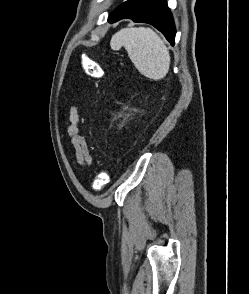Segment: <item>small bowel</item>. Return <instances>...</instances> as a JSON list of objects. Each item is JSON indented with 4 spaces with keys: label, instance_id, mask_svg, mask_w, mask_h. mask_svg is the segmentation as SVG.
Masks as SVG:
<instances>
[{
    "label": "small bowel",
    "instance_id": "obj_1",
    "mask_svg": "<svg viewBox=\"0 0 249 294\" xmlns=\"http://www.w3.org/2000/svg\"><path fill=\"white\" fill-rule=\"evenodd\" d=\"M79 112L77 107L72 106L69 111V126L67 136L71 140L73 147L72 160L76 169L90 167L93 158L90 153L86 139L78 133Z\"/></svg>",
    "mask_w": 249,
    "mask_h": 294
}]
</instances>
